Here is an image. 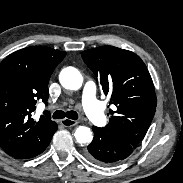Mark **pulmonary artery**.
Returning a JSON list of instances; mask_svg holds the SVG:
<instances>
[{
    "instance_id": "pulmonary-artery-1",
    "label": "pulmonary artery",
    "mask_w": 183,
    "mask_h": 183,
    "mask_svg": "<svg viewBox=\"0 0 183 183\" xmlns=\"http://www.w3.org/2000/svg\"><path fill=\"white\" fill-rule=\"evenodd\" d=\"M82 108L92 123L99 126L105 123L106 117L96 98V85L93 81H88L84 85Z\"/></svg>"
}]
</instances>
